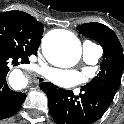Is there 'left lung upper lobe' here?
I'll use <instances>...</instances> for the list:
<instances>
[{
	"label": "left lung upper lobe",
	"mask_w": 124,
	"mask_h": 124,
	"mask_svg": "<svg viewBox=\"0 0 124 124\" xmlns=\"http://www.w3.org/2000/svg\"><path fill=\"white\" fill-rule=\"evenodd\" d=\"M77 29L82 35L99 42L104 49L101 71L83 87L100 91L113 100L124 68L123 49L116 34L106 25L95 22L79 25Z\"/></svg>",
	"instance_id": "5c2ea615"
}]
</instances>
